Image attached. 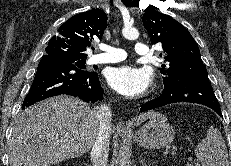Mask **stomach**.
Here are the masks:
<instances>
[{
    "label": "stomach",
    "instance_id": "1",
    "mask_svg": "<svg viewBox=\"0 0 231 166\" xmlns=\"http://www.w3.org/2000/svg\"><path fill=\"white\" fill-rule=\"evenodd\" d=\"M175 130L167 118L155 113L134 135V141L148 149H161L168 146L174 139Z\"/></svg>",
    "mask_w": 231,
    "mask_h": 166
}]
</instances>
